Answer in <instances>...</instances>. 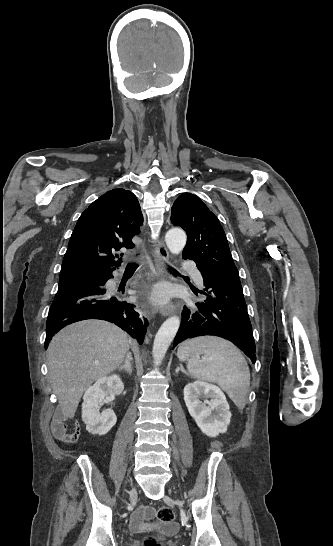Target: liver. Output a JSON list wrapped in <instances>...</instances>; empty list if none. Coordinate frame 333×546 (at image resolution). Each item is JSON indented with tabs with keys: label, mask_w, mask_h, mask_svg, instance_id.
<instances>
[{
	"label": "liver",
	"mask_w": 333,
	"mask_h": 546,
	"mask_svg": "<svg viewBox=\"0 0 333 546\" xmlns=\"http://www.w3.org/2000/svg\"><path fill=\"white\" fill-rule=\"evenodd\" d=\"M129 347L127 334L105 321H80L54 336L47 350L48 374L64 416L74 417L84 391L113 372Z\"/></svg>",
	"instance_id": "liver-1"
}]
</instances>
